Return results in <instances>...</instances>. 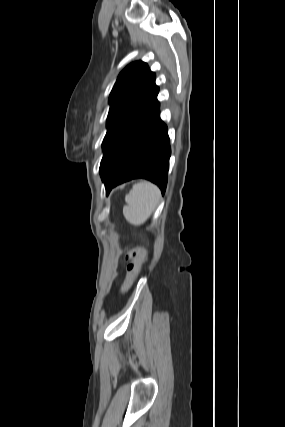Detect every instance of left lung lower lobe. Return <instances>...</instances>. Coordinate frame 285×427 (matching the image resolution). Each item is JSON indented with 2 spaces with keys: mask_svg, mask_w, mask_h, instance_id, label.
I'll list each match as a JSON object with an SVG mask.
<instances>
[{
  "mask_svg": "<svg viewBox=\"0 0 285 427\" xmlns=\"http://www.w3.org/2000/svg\"><path fill=\"white\" fill-rule=\"evenodd\" d=\"M167 127L159 117L157 98L103 156L100 174L106 193L117 184L145 178L165 192L170 157Z\"/></svg>",
  "mask_w": 285,
  "mask_h": 427,
  "instance_id": "1",
  "label": "left lung lower lobe"
}]
</instances>
